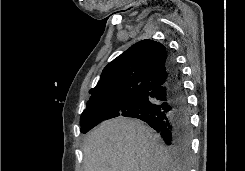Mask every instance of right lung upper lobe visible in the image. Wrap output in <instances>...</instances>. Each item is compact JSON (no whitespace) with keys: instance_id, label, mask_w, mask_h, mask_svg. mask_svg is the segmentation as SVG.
<instances>
[{"instance_id":"obj_1","label":"right lung upper lobe","mask_w":245,"mask_h":171,"mask_svg":"<svg viewBox=\"0 0 245 171\" xmlns=\"http://www.w3.org/2000/svg\"><path fill=\"white\" fill-rule=\"evenodd\" d=\"M166 47L153 40H142L110 62L101 74L88 102L120 95L136 97L162 86L168 79Z\"/></svg>"}]
</instances>
